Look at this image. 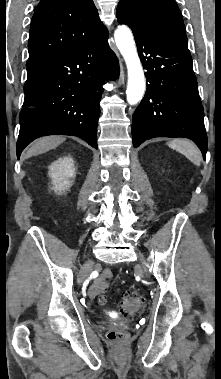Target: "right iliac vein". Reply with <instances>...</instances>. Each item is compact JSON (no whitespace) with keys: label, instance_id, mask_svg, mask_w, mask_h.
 I'll return each instance as SVG.
<instances>
[{"label":"right iliac vein","instance_id":"right-iliac-vein-1","mask_svg":"<svg viewBox=\"0 0 221 379\" xmlns=\"http://www.w3.org/2000/svg\"><path fill=\"white\" fill-rule=\"evenodd\" d=\"M90 271H91V264L86 263L79 274L78 282L81 283L88 276Z\"/></svg>","mask_w":221,"mask_h":379}]
</instances>
